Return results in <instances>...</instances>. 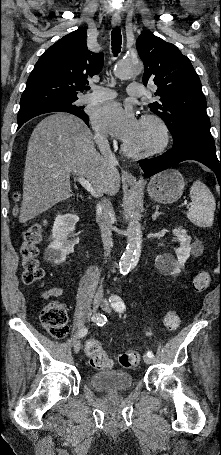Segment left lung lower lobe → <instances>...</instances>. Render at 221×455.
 Segmentation results:
<instances>
[{"mask_svg": "<svg viewBox=\"0 0 221 455\" xmlns=\"http://www.w3.org/2000/svg\"><path fill=\"white\" fill-rule=\"evenodd\" d=\"M185 160H196L209 167L221 186V154L219 160L211 133L188 131L173 142L169 151L155 158L140 160L139 164L145 177H150Z\"/></svg>", "mask_w": 221, "mask_h": 455, "instance_id": "1", "label": "left lung lower lobe"}]
</instances>
